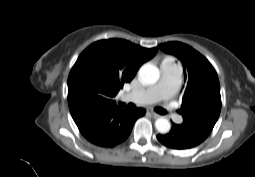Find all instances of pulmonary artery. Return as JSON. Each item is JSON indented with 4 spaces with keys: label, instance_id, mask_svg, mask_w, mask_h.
Segmentation results:
<instances>
[{
    "label": "pulmonary artery",
    "instance_id": "obj_1",
    "mask_svg": "<svg viewBox=\"0 0 255 177\" xmlns=\"http://www.w3.org/2000/svg\"><path fill=\"white\" fill-rule=\"evenodd\" d=\"M181 83V69L173 67H163L159 82L151 87L141 91H133L125 96V100L133 101L139 104H151L158 101H164V107L168 111L172 120L180 123L182 118L173 111V106L168 100L178 91Z\"/></svg>",
    "mask_w": 255,
    "mask_h": 177
}]
</instances>
